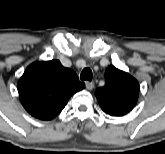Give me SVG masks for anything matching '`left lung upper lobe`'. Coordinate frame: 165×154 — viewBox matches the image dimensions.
<instances>
[{"label":"left lung upper lobe","mask_w":165,"mask_h":154,"mask_svg":"<svg viewBox=\"0 0 165 154\" xmlns=\"http://www.w3.org/2000/svg\"><path fill=\"white\" fill-rule=\"evenodd\" d=\"M138 94L137 80L112 65L105 71V86L95 91L102 110L111 116H122L131 111Z\"/></svg>","instance_id":"left-lung-upper-lobe-1"}]
</instances>
